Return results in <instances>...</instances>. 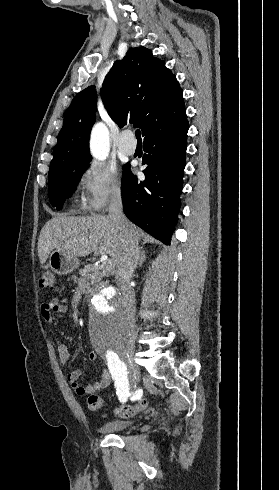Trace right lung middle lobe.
Listing matches in <instances>:
<instances>
[{
    "instance_id": "dd1d6c3e",
    "label": "right lung middle lobe",
    "mask_w": 279,
    "mask_h": 490,
    "mask_svg": "<svg viewBox=\"0 0 279 490\" xmlns=\"http://www.w3.org/2000/svg\"><path fill=\"white\" fill-rule=\"evenodd\" d=\"M91 160L81 163L79 165L66 168L62 171L49 176L48 192L49 199L53 206L59 210L61 209L66 197H70L75 191L76 185L79 182L82 174L85 171V167ZM129 167L126 166V169Z\"/></svg>"
}]
</instances>
